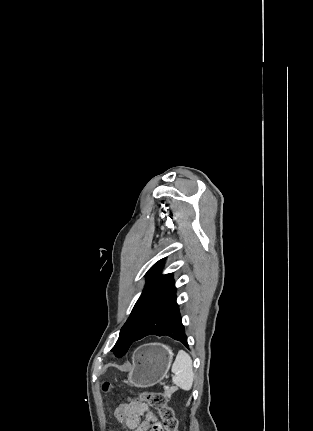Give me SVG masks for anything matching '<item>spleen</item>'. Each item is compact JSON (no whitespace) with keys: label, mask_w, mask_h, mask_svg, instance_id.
<instances>
[{"label":"spleen","mask_w":313,"mask_h":431,"mask_svg":"<svg viewBox=\"0 0 313 431\" xmlns=\"http://www.w3.org/2000/svg\"><path fill=\"white\" fill-rule=\"evenodd\" d=\"M174 374L172 381L183 390H190L193 385L194 373L191 357L179 350L171 369Z\"/></svg>","instance_id":"1"}]
</instances>
